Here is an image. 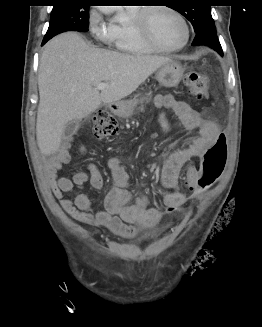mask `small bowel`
Instances as JSON below:
<instances>
[{"label": "small bowel", "instance_id": "obj_1", "mask_svg": "<svg viewBox=\"0 0 262 327\" xmlns=\"http://www.w3.org/2000/svg\"><path fill=\"white\" fill-rule=\"evenodd\" d=\"M158 108L171 109L178 117L177 126L182 130L198 131L186 148L177 150L170 154L163 164L161 170V182L167 189L163 197V206L173 203L175 206H183L190 197L179 191V176L183 166L197 159L201 162L203 153L209 148V143L216 142V135L221 134L217 125L204 120L197 111L182 100H177L170 95H160L154 100ZM159 124L164 132L170 129V122L165 112L159 114ZM72 145L71 139H66L54 157L46 166V177L54 196L58 199L61 207L75 220L103 226L111 232L131 238L136 234L134 225L153 227L161 218L158 208L150 207L145 196L134 198L128 189L129 174L119 163L118 159L111 158L107 166L111 172L114 187L106 196L104 210L92 213L93 198L82 192L84 185L89 182L95 189L103 187V175L100 169L93 163L87 167V172L81 171L73 178L58 176V171L69 161V149ZM86 152L85 148H81ZM187 170H183V185L186 190H195L197 186L196 163H187ZM75 192V198L65 197L66 193Z\"/></svg>", "mask_w": 262, "mask_h": 327}]
</instances>
